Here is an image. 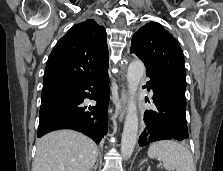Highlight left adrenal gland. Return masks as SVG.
Returning <instances> with one entry per match:
<instances>
[{
	"instance_id": "obj_1",
	"label": "left adrenal gland",
	"mask_w": 223,
	"mask_h": 171,
	"mask_svg": "<svg viewBox=\"0 0 223 171\" xmlns=\"http://www.w3.org/2000/svg\"><path fill=\"white\" fill-rule=\"evenodd\" d=\"M147 160L146 159H144L142 162H141V164H143L144 162H146Z\"/></svg>"
}]
</instances>
